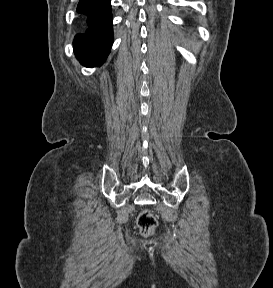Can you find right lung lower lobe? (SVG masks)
Segmentation results:
<instances>
[{
  "mask_svg": "<svg viewBox=\"0 0 273 288\" xmlns=\"http://www.w3.org/2000/svg\"><path fill=\"white\" fill-rule=\"evenodd\" d=\"M77 12L82 15L87 29L75 36V55L86 67L100 66L113 43L110 0H80Z\"/></svg>",
  "mask_w": 273,
  "mask_h": 288,
  "instance_id": "obj_1",
  "label": "right lung lower lobe"
}]
</instances>
